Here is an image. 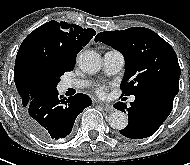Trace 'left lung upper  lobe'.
Here are the masks:
<instances>
[{"label": "left lung upper lobe", "instance_id": "obj_1", "mask_svg": "<svg viewBox=\"0 0 190 165\" xmlns=\"http://www.w3.org/2000/svg\"><path fill=\"white\" fill-rule=\"evenodd\" d=\"M120 51L125 59L122 95L163 91L176 95L180 66L175 51L154 31L133 27L122 31L101 32L95 37Z\"/></svg>", "mask_w": 190, "mask_h": 165}]
</instances>
